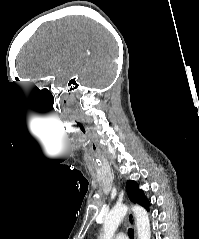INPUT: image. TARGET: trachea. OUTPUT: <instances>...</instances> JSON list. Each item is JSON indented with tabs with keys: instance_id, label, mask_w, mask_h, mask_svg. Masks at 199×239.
<instances>
[{
	"instance_id": "obj_1",
	"label": "trachea",
	"mask_w": 199,
	"mask_h": 239,
	"mask_svg": "<svg viewBox=\"0 0 199 239\" xmlns=\"http://www.w3.org/2000/svg\"><path fill=\"white\" fill-rule=\"evenodd\" d=\"M128 234L130 238L134 239V230L132 228L128 229Z\"/></svg>"
}]
</instances>
